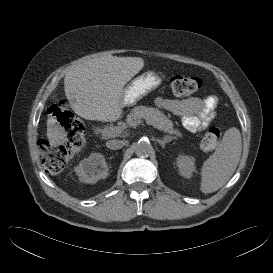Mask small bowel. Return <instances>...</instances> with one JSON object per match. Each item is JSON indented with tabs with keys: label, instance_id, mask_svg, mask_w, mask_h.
<instances>
[{
	"label": "small bowel",
	"instance_id": "c3829d8e",
	"mask_svg": "<svg viewBox=\"0 0 273 273\" xmlns=\"http://www.w3.org/2000/svg\"><path fill=\"white\" fill-rule=\"evenodd\" d=\"M155 104L157 108L178 116L183 126L192 133L203 131L217 116L218 100L212 95L184 100L159 97Z\"/></svg>",
	"mask_w": 273,
	"mask_h": 273
}]
</instances>
